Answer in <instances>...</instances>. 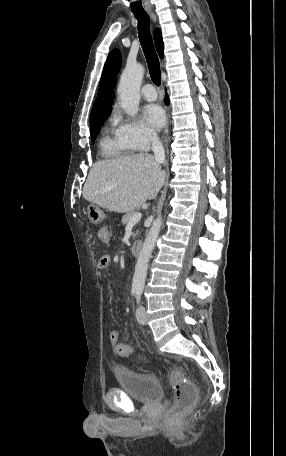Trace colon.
Returning a JSON list of instances; mask_svg holds the SVG:
<instances>
[{
	"label": "colon",
	"mask_w": 286,
	"mask_h": 456,
	"mask_svg": "<svg viewBox=\"0 0 286 456\" xmlns=\"http://www.w3.org/2000/svg\"><path fill=\"white\" fill-rule=\"evenodd\" d=\"M120 350L124 356H131L134 354V349L128 345L121 347ZM169 382L175 391L173 413L190 410L196 402V386L187 382L181 372L177 370L171 372L169 375Z\"/></svg>",
	"instance_id": "obj_1"
}]
</instances>
